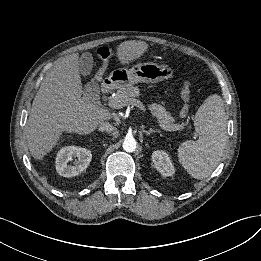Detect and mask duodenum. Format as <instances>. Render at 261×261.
<instances>
[{"instance_id": "1", "label": "duodenum", "mask_w": 261, "mask_h": 261, "mask_svg": "<svg viewBox=\"0 0 261 261\" xmlns=\"http://www.w3.org/2000/svg\"><path fill=\"white\" fill-rule=\"evenodd\" d=\"M101 90L103 94H108L111 90V85L110 82H108V80L104 79L101 82Z\"/></svg>"}]
</instances>
